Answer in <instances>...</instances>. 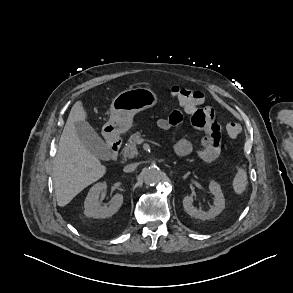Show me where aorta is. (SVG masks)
Listing matches in <instances>:
<instances>
[{
	"mask_svg": "<svg viewBox=\"0 0 293 293\" xmlns=\"http://www.w3.org/2000/svg\"><path fill=\"white\" fill-rule=\"evenodd\" d=\"M144 181L147 185H154L160 182L162 172L158 167L151 166L143 172Z\"/></svg>",
	"mask_w": 293,
	"mask_h": 293,
	"instance_id": "1",
	"label": "aorta"
}]
</instances>
